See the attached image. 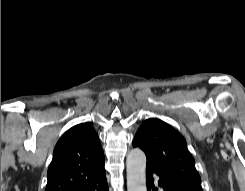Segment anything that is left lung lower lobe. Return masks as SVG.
I'll list each match as a JSON object with an SVG mask.
<instances>
[{"label":"left lung lower lobe","instance_id":"0a47b994","mask_svg":"<svg viewBox=\"0 0 245 191\" xmlns=\"http://www.w3.org/2000/svg\"><path fill=\"white\" fill-rule=\"evenodd\" d=\"M154 176L158 177V184L160 187H162L163 191H195L188 189L185 186H182L180 184H177L173 180L167 178L166 176H163L156 171L146 168V178H147V188L148 191H157V188L154 187Z\"/></svg>","mask_w":245,"mask_h":191}]
</instances>
